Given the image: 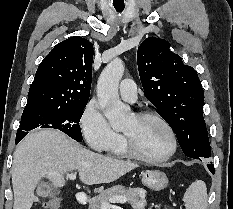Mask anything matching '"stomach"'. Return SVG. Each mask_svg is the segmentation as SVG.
Returning a JSON list of instances; mask_svg holds the SVG:
<instances>
[{
  "mask_svg": "<svg viewBox=\"0 0 233 209\" xmlns=\"http://www.w3.org/2000/svg\"><path fill=\"white\" fill-rule=\"evenodd\" d=\"M142 184L151 190L159 191L168 185L166 174L160 170H146L142 173Z\"/></svg>",
  "mask_w": 233,
  "mask_h": 209,
  "instance_id": "obj_1",
  "label": "stomach"
}]
</instances>
